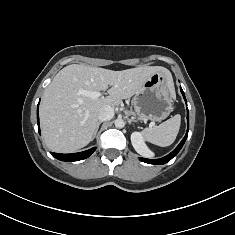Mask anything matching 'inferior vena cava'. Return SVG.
Instances as JSON below:
<instances>
[{"label":"inferior vena cava","mask_w":235,"mask_h":235,"mask_svg":"<svg viewBox=\"0 0 235 235\" xmlns=\"http://www.w3.org/2000/svg\"><path fill=\"white\" fill-rule=\"evenodd\" d=\"M114 116V109L111 106H103L98 112L99 121L111 120Z\"/></svg>","instance_id":"obj_1"}]
</instances>
